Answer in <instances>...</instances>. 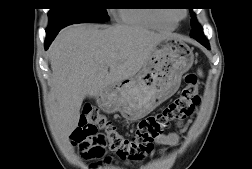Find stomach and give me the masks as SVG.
Masks as SVG:
<instances>
[{"label": "stomach", "mask_w": 252, "mask_h": 169, "mask_svg": "<svg viewBox=\"0 0 252 169\" xmlns=\"http://www.w3.org/2000/svg\"><path fill=\"white\" fill-rule=\"evenodd\" d=\"M193 62V50L184 41L167 37L134 77L104 90L97 103L107 113L118 111L127 120H139L178 90L182 75Z\"/></svg>", "instance_id": "stomach-1"}]
</instances>
